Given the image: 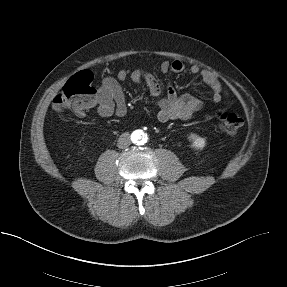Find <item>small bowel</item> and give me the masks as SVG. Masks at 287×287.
Instances as JSON below:
<instances>
[{
  "instance_id": "1",
  "label": "small bowel",
  "mask_w": 287,
  "mask_h": 287,
  "mask_svg": "<svg viewBox=\"0 0 287 287\" xmlns=\"http://www.w3.org/2000/svg\"><path fill=\"white\" fill-rule=\"evenodd\" d=\"M160 70L162 73L174 74L187 70L190 74L198 76L209 87L212 103L220 104L224 101L226 91L219 77L213 71L201 69L197 65H192L186 69L185 64L180 60L163 61ZM128 78L135 84L147 86L158 107L157 118L160 122L190 119L204 106L203 100L198 96L178 94L170 82L167 83L165 94H163V86L150 72L141 69L129 72L126 69H121L116 78L107 76L101 82L94 103L100 117L106 118L112 115L122 117L127 113L125 94L120 82ZM78 115L82 117L84 112H79Z\"/></svg>"
}]
</instances>
